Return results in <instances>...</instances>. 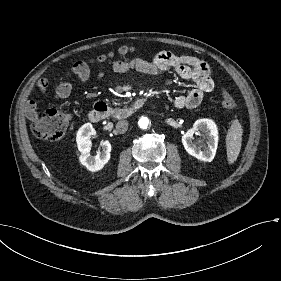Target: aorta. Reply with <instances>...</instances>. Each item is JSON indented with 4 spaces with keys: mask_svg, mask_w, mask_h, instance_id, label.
<instances>
[{
    "mask_svg": "<svg viewBox=\"0 0 281 281\" xmlns=\"http://www.w3.org/2000/svg\"><path fill=\"white\" fill-rule=\"evenodd\" d=\"M141 126L144 127V124L142 123Z\"/></svg>",
    "mask_w": 281,
    "mask_h": 281,
    "instance_id": "obj_1",
    "label": "aorta"
}]
</instances>
